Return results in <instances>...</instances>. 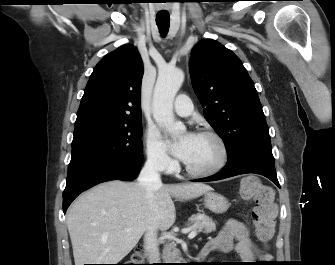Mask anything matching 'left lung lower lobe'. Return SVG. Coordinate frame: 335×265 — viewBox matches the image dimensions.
Segmentation results:
<instances>
[{"mask_svg": "<svg viewBox=\"0 0 335 265\" xmlns=\"http://www.w3.org/2000/svg\"><path fill=\"white\" fill-rule=\"evenodd\" d=\"M246 173H255L263 175L268 179H270L280 188L275 166L260 161H244L236 164H227V166L219 173L211 177L197 179L194 181L196 182L215 181Z\"/></svg>", "mask_w": 335, "mask_h": 265, "instance_id": "1", "label": "left lung lower lobe"}]
</instances>
